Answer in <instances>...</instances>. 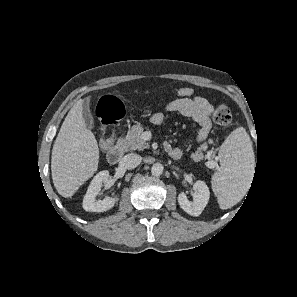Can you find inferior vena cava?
Returning <instances> with one entry per match:
<instances>
[{"label": "inferior vena cava", "instance_id": "1", "mask_svg": "<svg viewBox=\"0 0 297 297\" xmlns=\"http://www.w3.org/2000/svg\"><path fill=\"white\" fill-rule=\"evenodd\" d=\"M141 161L142 157L135 153H129L122 158V164L128 169L137 167Z\"/></svg>", "mask_w": 297, "mask_h": 297}]
</instances>
